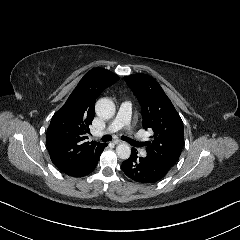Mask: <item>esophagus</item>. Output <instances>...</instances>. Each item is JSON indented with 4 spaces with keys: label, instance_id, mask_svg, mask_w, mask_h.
Returning <instances> with one entry per match:
<instances>
[{
    "label": "esophagus",
    "instance_id": "esophagus-1",
    "mask_svg": "<svg viewBox=\"0 0 240 240\" xmlns=\"http://www.w3.org/2000/svg\"><path fill=\"white\" fill-rule=\"evenodd\" d=\"M121 143H123V141H121V140H114V144H121Z\"/></svg>",
    "mask_w": 240,
    "mask_h": 240
}]
</instances>
